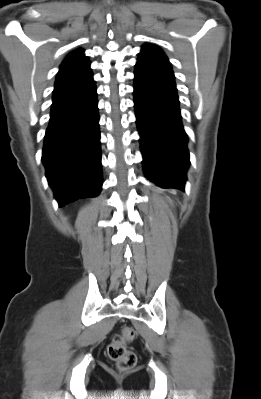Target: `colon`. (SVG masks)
Returning a JSON list of instances; mask_svg holds the SVG:
<instances>
[{"label": "colon", "instance_id": "colon-1", "mask_svg": "<svg viewBox=\"0 0 261 399\" xmlns=\"http://www.w3.org/2000/svg\"><path fill=\"white\" fill-rule=\"evenodd\" d=\"M134 338L135 330L130 326H124L121 328L120 333L113 337L111 343L107 347L109 358L113 360L122 371L131 369L137 362L136 354L127 348V344L132 342Z\"/></svg>", "mask_w": 261, "mask_h": 399}]
</instances>
